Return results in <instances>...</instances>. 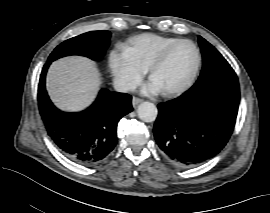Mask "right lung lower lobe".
Segmentation results:
<instances>
[{
  "instance_id": "right-lung-lower-lobe-1",
  "label": "right lung lower lobe",
  "mask_w": 270,
  "mask_h": 213,
  "mask_svg": "<svg viewBox=\"0 0 270 213\" xmlns=\"http://www.w3.org/2000/svg\"><path fill=\"white\" fill-rule=\"evenodd\" d=\"M44 65L38 87L39 110L48 135L73 161L92 165L101 162L116 146L118 121L133 110L132 97L102 89L95 102L79 113L59 111L45 89Z\"/></svg>"
}]
</instances>
